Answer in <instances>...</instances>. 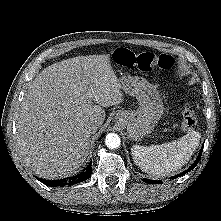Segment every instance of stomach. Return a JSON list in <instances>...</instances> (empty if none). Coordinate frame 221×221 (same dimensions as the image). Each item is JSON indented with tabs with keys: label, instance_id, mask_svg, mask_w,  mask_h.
<instances>
[{
	"label": "stomach",
	"instance_id": "1",
	"mask_svg": "<svg viewBox=\"0 0 221 221\" xmlns=\"http://www.w3.org/2000/svg\"><path fill=\"white\" fill-rule=\"evenodd\" d=\"M122 90L136 97L139 107L136 110L118 111L117 123L127 129L131 140H141L150 134L164 112V106L156 87L138 76L124 74L119 78Z\"/></svg>",
	"mask_w": 221,
	"mask_h": 221
}]
</instances>
